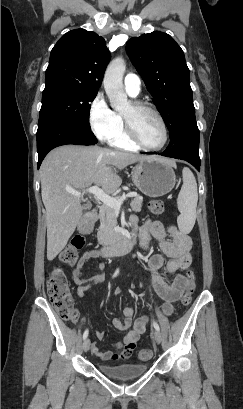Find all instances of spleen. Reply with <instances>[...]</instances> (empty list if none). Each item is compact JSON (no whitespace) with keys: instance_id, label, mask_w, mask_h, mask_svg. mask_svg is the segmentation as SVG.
<instances>
[{"instance_id":"3e777b00","label":"spleen","mask_w":243,"mask_h":409,"mask_svg":"<svg viewBox=\"0 0 243 409\" xmlns=\"http://www.w3.org/2000/svg\"><path fill=\"white\" fill-rule=\"evenodd\" d=\"M183 185L178 194L177 205L180 215L177 223L180 231L189 233L196 220L198 202L197 182L192 171L185 167L182 171Z\"/></svg>"}]
</instances>
